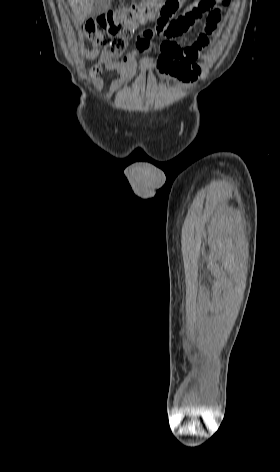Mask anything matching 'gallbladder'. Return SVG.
<instances>
[{
	"instance_id": "obj_1",
	"label": "gallbladder",
	"mask_w": 280,
	"mask_h": 472,
	"mask_svg": "<svg viewBox=\"0 0 280 472\" xmlns=\"http://www.w3.org/2000/svg\"><path fill=\"white\" fill-rule=\"evenodd\" d=\"M111 7V0H94L91 16L95 17L107 12Z\"/></svg>"
}]
</instances>
